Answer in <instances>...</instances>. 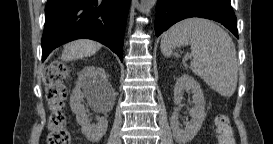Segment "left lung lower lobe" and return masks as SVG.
<instances>
[{
    "label": "left lung lower lobe",
    "instance_id": "0a47b994",
    "mask_svg": "<svg viewBox=\"0 0 273 144\" xmlns=\"http://www.w3.org/2000/svg\"><path fill=\"white\" fill-rule=\"evenodd\" d=\"M189 17L220 22L238 38L237 19L230 0H158L155 19L156 36L176 22Z\"/></svg>",
    "mask_w": 273,
    "mask_h": 144
}]
</instances>
